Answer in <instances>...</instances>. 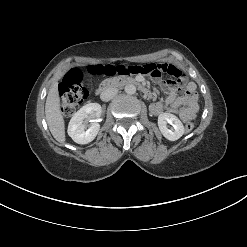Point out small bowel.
<instances>
[{"label":"small bowel","mask_w":247,"mask_h":247,"mask_svg":"<svg viewBox=\"0 0 247 247\" xmlns=\"http://www.w3.org/2000/svg\"><path fill=\"white\" fill-rule=\"evenodd\" d=\"M119 75L146 76L153 82L160 84L167 97L163 101L154 102L150 105L152 114L175 113L184 123L196 117L199 105L195 86L187 81L185 73L176 65L166 62L133 64L131 68ZM164 75L168 76L166 80H163ZM182 87L185 89V93L179 95Z\"/></svg>","instance_id":"c3829d8e"}]
</instances>
